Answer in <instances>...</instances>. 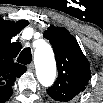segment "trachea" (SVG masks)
<instances>
[{"label": "trachea", "instance_id": "1", "mask_svg": "<svg viewBox=\"0 0 103 103\" xmlns=\"http://www.w3.org/2000/svg\"><path fill=\"white\" fill-rule=\"evenodd\" d=\"M31 60H32V54L31 49L29 47L24 48L20 53L19 57L17 58V61L24 65L31 63Z\"/></svg>", "mask_w": 103, "mask_h": 103}]
</instances>
